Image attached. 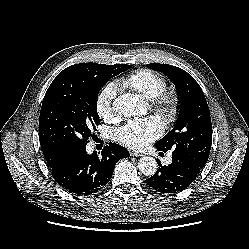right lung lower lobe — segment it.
Instances as JSON below:
<instances>
[{"instance_id":"obj_1","label":"right lung lower lobe","mask_w":249,"mask_h":249,"mask_svg":"<svg viewBox=\"0 0 249 249\" xmlns=\"http://www.w3.org/2000/svg\"><path fill=\"white\" fill-rule=\"evenodd\" d=\"M125 157H129L127 149L115 143L105 146L100 158L96 152L87 154L84 148L51 168V174L68 192L87 196L103 189L110 181L117 161Z\"/></svg>"}]
</instances>
